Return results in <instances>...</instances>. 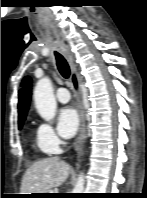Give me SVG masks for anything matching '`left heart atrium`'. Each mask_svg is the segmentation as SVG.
<instances>
[{
    "label": "left heart atrium",
    "mask_w": 147,
    "mask_h": 198,
    "mask_svg": "<svg viewBox=\"0 0 147 198\" xmlns=\"http://www.w3.org/2000/svg\"><path fill=\"white\" fill-rule=\"evenodd\" d=\"M79 126V116L75 109L65 107L58 114V130L65 138L72 137Z\"/></svg>",
    "instance_id": "1"
}]
</instances>
